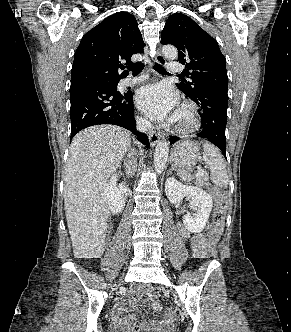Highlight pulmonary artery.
Returning a JSON list of instances; mask_svg holds the SVG:
<instances>
[{"mask_svg":"<svg viewBox=\"0 0 291 332\" xmlns=\"http://www.w3.org/2000/svg\"><path fill=\"white\" fill-rule=\"evenodd\" d=\"M167 71L171 74L179 73L181 71V65L178 62L172 61L167 64ZM146 79V76H141L137 78H126L122 81V85L129 86Z\"/></svg>","mask_w":291,"mask_h":332,"instance_id":"pulmonary-artery-1","label":"pulmonary artery"}]
</instances>
